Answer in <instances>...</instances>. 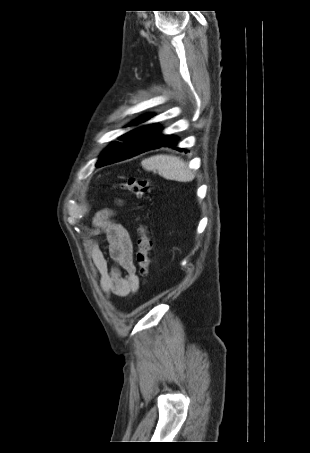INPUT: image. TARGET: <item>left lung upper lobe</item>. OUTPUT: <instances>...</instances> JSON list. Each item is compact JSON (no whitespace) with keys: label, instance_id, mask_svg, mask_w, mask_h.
<instances>
[{"label":"left lung upper lobe","instance_id":"obj_1","mask_svg":"<svg viewBox=\"0 0 310 453\" xmlns=\"http://www.w3.org/2000/svg\"><path fill=\"white\" fill-rule=\"evenodd\" d=\"M150 118V115L143 116L136 120L133 125ZM161 128L156 124L146 125L132 130L119 139L122 142H114L104 150L96 166H104L114 162L137 155L140 150L156 141L162 140L165 135L160 134Z\"/></svg>","mask_w":310,"mask_h":453}]
</instances>
